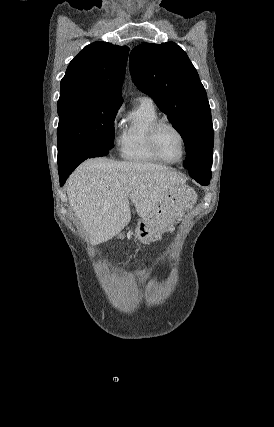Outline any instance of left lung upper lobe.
<instances>
[{"mask_svg": "<svg viewBox=\"0 0 274 427\" xmlns=\"http://www.w3.org/2000/svg\"><path fill=\"white\" fill-rule=\"evenodd\" d=\"M130 72L139 90L153 98L185 144L184 168L210 175L214 132L206 91L187 54L174 42L143 43L130 54Z\"/></svg>", "mask_w": 274, "mask_h": 427, "instance_id": "1", "label": "left lung upper lobe"}]
</instances>
